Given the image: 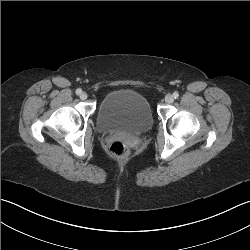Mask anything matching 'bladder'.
Here are the masks:
<instances>
[{
	"instance_id": "obj_1",
	"label": "bladder",
	"mask_w": 250,
	"mask_h": 250,
	"mask_svg": "<svg viewBox=\"0 0 250 250\" xmlns=\"http://www.w3.org/2000/svg\"><path fill=\"white\" fill-rule=\"evenodd\" d=\"M152 125L148 100L134 90L111 91L98 106L97 127L101 132L138 135L149 131Z\"/></svg>"
}]
</instances>
